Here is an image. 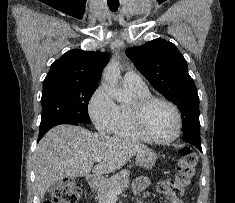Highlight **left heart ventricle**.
Segmentation results:
<instances>
[{
    "label": "left heart ventricle",
    "instance_id": "obj_1",
    "mask_svg": "<svg viewBox=\"0 0 235 203\" xmlns=\"http://www.w3.org/2000/svg\"><path fill=\"white\" fill-rule=\"evenodd\" d=\"M146 129L154 136L167 138L176 132L177 121L174 111L162 102L153 103L144 114Z\"/></svg>",
    "mask_w": 235,
    "mask_h": 203
}]
</instances>
